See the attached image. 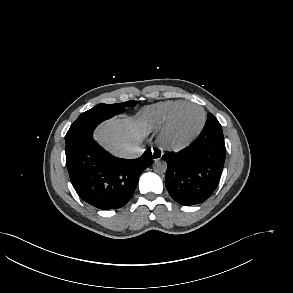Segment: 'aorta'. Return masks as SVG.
I'll list each match as a JSON object with an SVG mask.
<instances>
[{"label":"aorta","mask_w":293,"mask_h":293,"mask_svg":"<svg viewBox=\"0 0 293 293\" xmlns=\"http://www.w3.org/2000/svg\"><path fill=\"white\" fill-rule=\"evenodd\" d=\"M153 169L156 173H165L167 170V163L164 160L157 159L153 164Z\"/></svg>","instance_id":"762f6f07"}]
</instances>
